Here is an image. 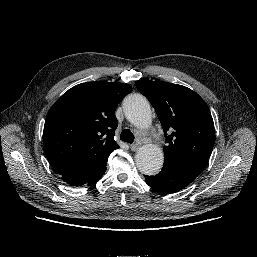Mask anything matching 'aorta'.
I'll return each mask as SVG.
<instances>
[{"label":"aorta","instance_id":"1","mask_svg":"<svg viewBox=\"0 0 257 257\" xmlns=\"http://www.w3.org/2000/svg\"><path fill=\"white\" fill-rule=\"evenodd\" d=\"M123 110L127 120L134 126L146 129L151 125L152 112L148 100L142 95H131L124 101ZM135 162L140 172L156 175L164 162L163 151L156 145L140 147L135 155Z\"/></svg>","mask_w":257,"mask_h":257}]
</instances>
